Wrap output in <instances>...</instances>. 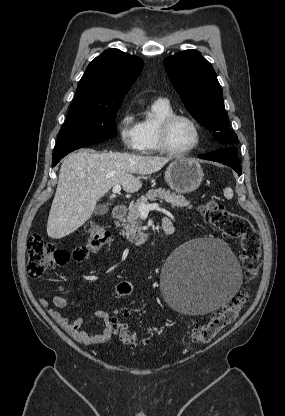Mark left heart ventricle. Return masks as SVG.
<instances>
[{"label":"left heart ventricle","mask_w":285,"mask_h":416,"mask_svg":"<svg viewBox=\"0 0 285 416\" xmlns=\"http://www.w3.org/2000/svg\"><path fill=\"white\" fill-rule=\"evenodd\" d=\"M168 140L174 150L189 149L195 143L193 126L184 119H177L170 127Z\"/></svg>","instance_id":"obj_1"}]
</instances>
